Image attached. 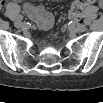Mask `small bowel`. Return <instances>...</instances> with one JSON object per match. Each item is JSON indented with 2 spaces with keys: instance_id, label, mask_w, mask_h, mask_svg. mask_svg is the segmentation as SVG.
<instances>
[{
  "instance_id": "1",
  "label": "small bowel",
  "mask_w": 103,
  "mask_h": 103,
  "mask_svg": "<svg viewBox=\"0 0 103 103\" xmlns=\"http://www.w3.org/2000/svg\"><path fill=\"white\" fill-rule=\"evenodd\" d=\"M23 9L25 13L36 22L38 28L48 29L53 25L54 18L52 14L42 7L35 6L31 3H24Z\"/></svg>"
}]
</instances>
